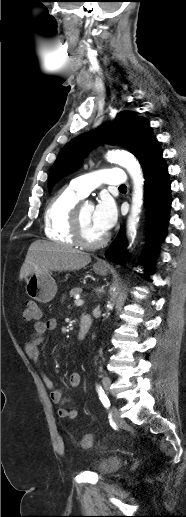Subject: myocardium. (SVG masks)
<instances>
[{
    "mask_svg": "<svg viewBox=\"0 0 186 517\" xmlns=\"http://www.w3.org/2000/svg\"><path fill=\"white\" fill-rule=\"evenodd\" d=\"M81 207L82 205H76L72 216V232L76 244L85 248H98L105 244L108 236L104 234L102 237L96 240H89L84 236L82 222H81Z\"/></svg>",
    "mask_w": 186,
    "mask_h": 517,
    "instance_id": "obj_1",
    "label": "myocardium"
}]
</instances>
